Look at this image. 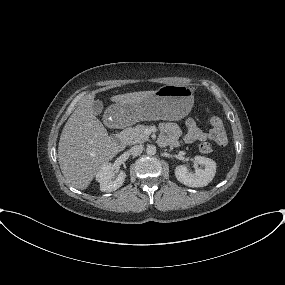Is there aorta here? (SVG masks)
I'll return each instance as SVG.
<instances>
[{
  "label": "aorta",
  "mask_w": 285,
  "mask_h": 285,
  "mask_svg": "<svg viewBox=\"0 0 285 285\" xmlns=\"http://www.w3.org/2000/svg\"><path fill=\"white\" fill-rule=\"evenodd\" d=\"M146 153L148 155L156 154V147L154 145H148L147 148H146Z\"/></svg>",
  "instance_id": "1"
}]
</instances>
